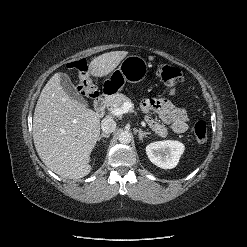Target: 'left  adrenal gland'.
<instances>
[{"instance_id":"a2214340","label":"left adrenal gland","mask_w":247,"mask_h":247,"mask_svg":"<svg viewBox=\"0 0 247 247\" xmlns=\"http://www.w3.org/2000/svg\"><path fill=\"white\" fill-rule=\"evenodd\" d=\"M138 134H139V139L143 140V137L150 134L149 132H143L141 129L137 130Z\"/></svg>"}]
</instances>
